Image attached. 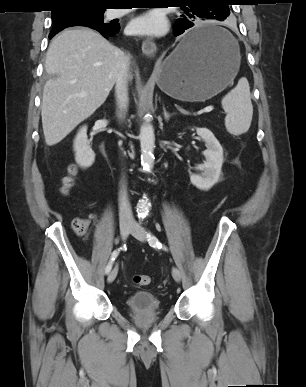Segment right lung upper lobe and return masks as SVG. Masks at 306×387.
I'll return each mask as SVG.
<instances>
[{"label": "right lung upper lobe", "instance_id": "1", "mask_svg": "<svg viewBox=\"0 0 306 387\" xmlns=\"http://www.w3.org/2000/svg\"><path fill=\"white\" fill-rule=\"evenodd\" d=\"M58 8L52 12H56L62 8L73 6H93L105 8L110 4V0H56Z\"/></svg>", "mask_w": 306, "mask_h": 387}]
</instances>
